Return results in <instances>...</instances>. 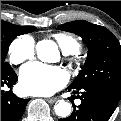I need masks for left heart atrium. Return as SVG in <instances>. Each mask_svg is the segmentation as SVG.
I'll return each mask as SVG.
<instances>
[{
  "mask_svg": "<svg viewBox=\"0 0 121 121\" xmlns=\"http://www.w3.org/2000/svg\"><path fill=\"white\" fill-rule=\"evenodd\" d=\"M67 79L62 68L33 62L21 69L20 83L28 94L51 95L63 88Z\"/></svg>",
  "mask_w": 121,
  "mask_h": 121,
  "instance_id": "left-heart-atrium-1",
  "label": "left heart atrium"
}]
</instances>
